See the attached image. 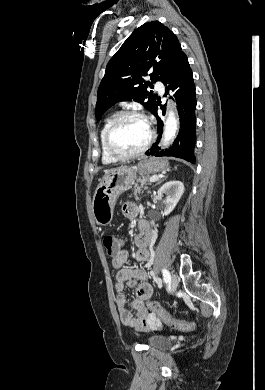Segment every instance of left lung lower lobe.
<instances>
[{
	"label": "left lung lower lobe",
	"mask_w": 265,
	"mask_h": 390,
	"mask_svg": "<svg viewBox=\"0 0 265 390\" xmlns=\"http://www.w3.org/2000/svg\"><path fill=\"white\" fill-rule=\"evenodd\" d=\"M163 84L166 85V94L171 90L177 102L180 117V130L172 146L168 149L159 151L160 148L158 147V143L160 142L163 132V121L157 114L158 103L153 115L158 121L157 129L159 136L157 141L153 144V147L147 150L146 155L159 157L171 156L194 163V146L196 142V94L192 71L188 63V58L184 52L177 58L171 72L164 80ZM161 109L164 114L165 106L161 107Z\"/></svg>",
	"instance_id": "1"
}]
</instances>
